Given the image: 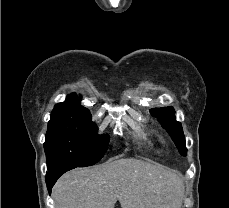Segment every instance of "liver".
<instances>
[{"mask_svg": "<svg viewBox=\"0 0 229 208\" xmlns=\"http://www.w3.org/2000/svg\"><path fill=\"white\" fill-rule=\"evenodd\" d=\"M185 186L161 164L134 158L71 170L53 188L57 208H180Z\"/></svg>", "mask_w": 229, "mask_h": 208, "instance_id": "6515ba94", "label": "liver"}]
</instances>
